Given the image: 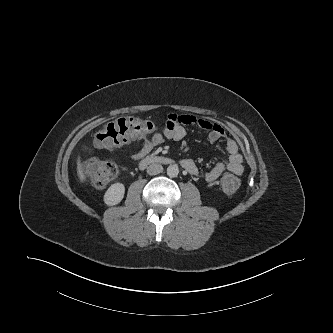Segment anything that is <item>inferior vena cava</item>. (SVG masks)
<instances>
[{"instance_id": "inferior-vena-cava-1", "label": "inferior vena cava", "mask_w": 333, "mask_h": 333, "mask_svg": "<svg viewBox=\"0 0 333 333\" xmlns=\"http://www.w3.org/2000/svg\"><path fill=\"white\" fill-rule=\"evenodd\" d=\"M163 172V167L160 164H151L147 167V173L149 175H157L159 173Z\"/></svg>"}]
</instances>
